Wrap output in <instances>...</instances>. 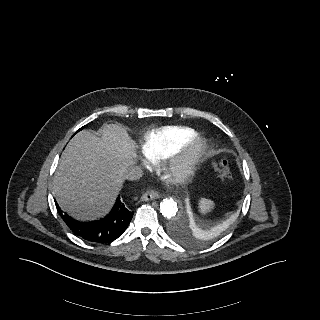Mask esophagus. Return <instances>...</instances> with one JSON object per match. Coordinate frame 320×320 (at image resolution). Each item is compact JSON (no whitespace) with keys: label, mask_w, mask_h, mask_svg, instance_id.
I'll list each match as a JSON object with an SVG mask.
<instances>
[{"label":"esophagus","mask_w":320,"mask_h":320,"mask_svg":"<svg viewBox=\"0 0 320 320\" xmlns=\"http://www.w3.org/2000/svg\"><path fill=\"white\" fill-rule=\"evenodd\" d=\"M159 196H160L159 192L155 190H148L142 195L141 200L150 201V200L159 198Z\"/></svg>","instance_id":"34e87169"}]
</instances>
